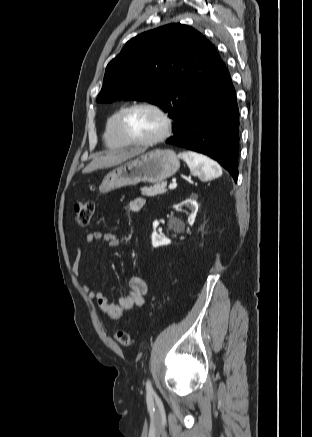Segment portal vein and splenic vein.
Wrapping results in <instances>:
<instances>
[{"label": "portal vein and splenic vein", "instance_id": "1", "mask_svg": "<svg viewBox=\"0 0 312 437\" xmlns=\"http://www.w3.org/2000/svg\"><path fill=\"white\" fill-rule=\"evenodd\" d=\"M176 186H177V184L175 182H173L169 185V189H174V188H176Z\"/></svg>", "mask_w": 312, "mask_h": 437}]
</instances>
